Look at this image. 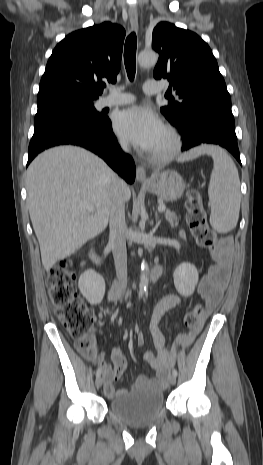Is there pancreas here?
<instances>
[{
  "label": "pancreas",
  "instance_id": "obj_1",
  "mask_svg": "<svg viewBox=\"0 0 263 465\" xmlns=\"http://www.w3.org/2000/svg\"><path fill=\"white\" fill-rule=\"evenodd\" d=\"M165 218L171 227H176L178 225L179 217L174 212L166 211Z\"/></svg>",
  "mask_w": 263,
  "mask_h": 465
}]
</instances>
